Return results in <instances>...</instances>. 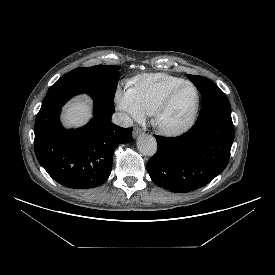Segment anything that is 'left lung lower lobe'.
<instances>
[{
    "label": "left lung lower lobe",
    "mask_w": 275,
    "mask_h": 275,
    "mask_svg": "<svg viewBox=\"0 0 275 275\" xmlns=\"http://www.w3.org/2000/svg\"><path fill=\"white\" fill-rule=\"evenodd\" d=\"M156 139L158 150L147 163L152 181L185 193L206 185L226 168L234 127L231 116H213L196 121L181 136Z\"/></svg>",
    "instance_id": "0a47b994"
}]
</instances>
